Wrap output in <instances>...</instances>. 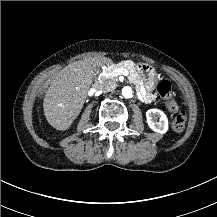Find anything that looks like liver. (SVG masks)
I'll list each match as a JSON object with an SVG mask.
<instances>
[{
    "label": "liver",
    "mask_w": 217,
    "mask_h": 217,
    "mask_svg": "<svg viewBox=\"0 0 217 217\" xmlns=\"http://www.w3.org/2000/svg\"><path fill=\"white\" fill-rule=\"evenodd\" d=\"M107 63H111L107 57L87 58L57 73L43 101L44 115L52 127L62 131L70 127L83 107L94 69Z\"/></svg>",
    "instance_id": "1"
}]
</instances>
